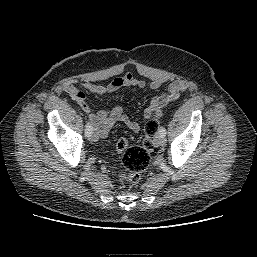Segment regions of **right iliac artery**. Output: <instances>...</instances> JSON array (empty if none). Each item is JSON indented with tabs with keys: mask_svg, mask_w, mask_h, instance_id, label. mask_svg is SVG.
<instances>
[{
	"mask_svg": "<svg viewBox=\"0 0 257 257\" xmlns=\"http://www.w3.org/2000/svg\"><path fill=\"white\" fill-rule=\"evenodd\" d=\"M93 133V128L92 125L89 121H86V126H85V135L87 137L91 136V134Z\"/></svg>",
	"mask_w": 257,
	"mask_h": 257,
	"instance_id": "1",
	"label": "right iliac artery"
}]
</instances>
